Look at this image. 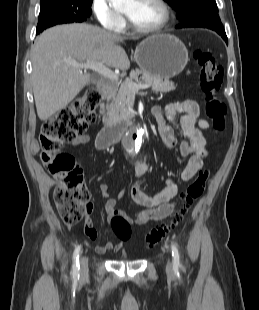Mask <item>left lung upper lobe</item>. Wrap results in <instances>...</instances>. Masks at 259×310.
Masks as SVG:
<instances>
[{
	"label": "left lung upper lobe",
	"instance_id": "obj_1",
	"mask_svg": "<svg viewBox=\"0 0 259 310\" xmlns=\"http://www.w3.org/2000/svg\"><path fill=\"white\" fill-rule=\"evenodd\" d=\"M182 21L177 27L197 26L224 30L215 0H165Z\"/></svg>",
	"mask_w": 259,
	"mask_h": 310
}]
</instances>
